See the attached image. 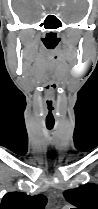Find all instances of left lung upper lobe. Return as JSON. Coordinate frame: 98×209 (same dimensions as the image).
I'll use <instances>...</instances> for the list:
<instances>
[{
    "label": "left lung upper lobe",
    "mask_w": 98,
    "mask_h": 209,
    "mask_svg": "<svg viewBox=\"0 0 98 209\" xmlns=\"http://www.w3.org/2000/svg\"><path fill=\"white\" fill-rule=\"evenodd\" d=\"M66 200L76 209H98V185L90 183L63 192Z\"/></svg>",
    "instance_id": "5c2ea615"
}]
</instances>
